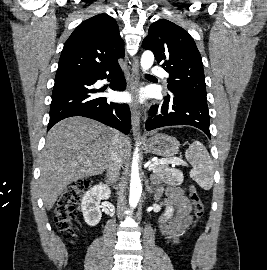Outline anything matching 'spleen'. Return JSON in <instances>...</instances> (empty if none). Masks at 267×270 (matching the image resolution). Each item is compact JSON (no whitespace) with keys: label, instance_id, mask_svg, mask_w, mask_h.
<instances>
[{"label":"spleen","instance_id":"obj_1","mask_svg":"<svg viewBox=\"0 0 267 270\" xmlns=\"http://www.w3.org/2000/svg\"><path fill=\"white\" fill-rule=\"evenodd\" d=\"M186 159L192 164L190 177L204 190H210L213 185V163L205 146L194 141L185 152ZM175 183L181 184L183 175L174 170Z\"/></svg>","mask_w":267,"mask_h":270}]
</instances>
